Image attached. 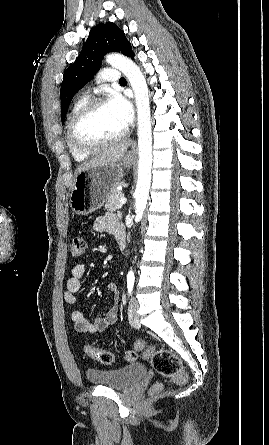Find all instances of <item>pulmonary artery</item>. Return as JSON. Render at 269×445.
Returning <instances> with one entry per match:
<instances>
[{
	"label": "pulmonary artery",
	"mask_w": 269,
	"mask_h": 445,
	"mask_svg": "<svg viewBox=\"0 0 269 445\" xmlns=\"http://www.w3.org/2000/svg\"><path fill=\"white\" fill-rule=\"evenodd\" d=\"M121 78L119 70L114 68H105L101 72V79L107 82H118Z\"/></svg>",
	"instance_id": "pulmonary-artery-1"
}]
</instances>
